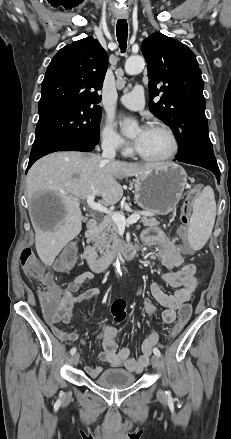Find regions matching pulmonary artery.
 Masks as SVG:
<instances>
[{
    "mask_svg": "<svg viewBox=\"0 0 231 439\" xmlns=\"http://www.w3.org/2000/svg\"><path fill=\"white\" fill-rule=\"evenodd\" d=\"M120 102L131 110H141L144 107V89L142 86H135L132 91L123 94Z\"/></svg>",
    "mask_w": 231,
    "mask_h": 439,
    "instance_id": "e3ab8cb5",
    "label": "pulmonary artery"
}]
</instances>
